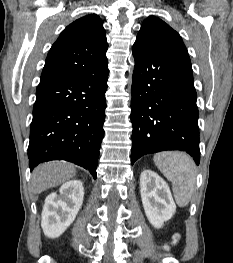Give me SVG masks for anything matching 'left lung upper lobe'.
<instances>
[{
  "mask_svg": "<svg viewBox=\"0 0 233 263\" xmlns=\"http://www.w3.org/2000/svg\"><path fill=\"white\" fill-rule=\"evenodd\" d=\"M156 52L188 56L180 35L157 17H148L141 25L135 44Z\"/></svg>",
  "mask_w": 233,
  "mask_h": 263,
  "instance_id": "obj_1",
  "label": "left lung upper lobe"
}]
</instances>
